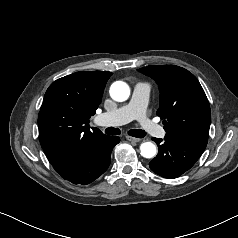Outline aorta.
Wrapping results in <instances>:
<instances>
[{
	"label": "aorta",
	"instance_id": "762f6f07",
	"mask_svg": "<svg viewBox=\"0 0 238 238\" xmlns=\"http://www.w3.org/2000/svg\"><path fill=\"white\" fill-rule=\"evenodd\" d=\"M110 96L113 100L123 102L130 96V88L123 81H116L110 87ZM156 146L148 141L140 145V153L144 158H153L156 155Z\"/></svg>",
	"mask_w": 238,
	"mask_h": 238
}]
</instances>
